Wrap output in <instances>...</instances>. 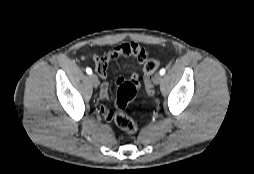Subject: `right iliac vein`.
Masks as SVG:
<instances>
[{"instance_id": "1", "label": "right iliac vein", "mask_w": 254, "mask_h": 174, "mask_svg": "<svg viewBox=\"0 0 254 174\" xmlns=\"http://www.w3.org/2000/svg\"><path fill=\"white\" fill-rule=\"evenodd\" d=\"M90 80H91L93 86H94L95 88H97L98 85H99V79H98L97 75L91 74V75H90Z\"/></svg>"}]
</instances>
